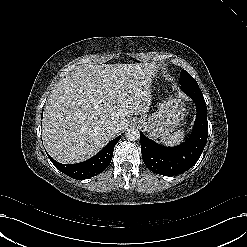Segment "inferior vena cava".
I'll return each mask as SVG.
<instances>
[{
  "mask_svg": "<svg viewBox=\"0 0 247 247\" xmlns=\"http://www.w3.org/2000/svg\"><path fill=\"white\" fill-rule=\"evenodd\" d=\"M118 129H119V124L116 122H113L108 126V130L111 132H117Z\"/></svg>",
  "mask_w": 247,
  "mask_h": 247,
  "instance_id": "inferior-vena-cava-1",
  "label": "inferior vena cava"
}]
</instances>
